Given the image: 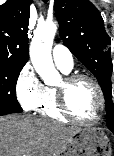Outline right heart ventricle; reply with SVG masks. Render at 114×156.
Instances as JSON below:
<instances>
[{"instance_id": "right-heart-ventricle-1", "label": "right heart ventricle", "mask_w": 114, "mask_h": 156, "mask_svg": "<svg viewBox=\"0 0 114 156\" xmlns=\"http://www.w3.org/2000/svg\"><path fill=\"white\" fill-rule=\"evenodd\" d=\"M59 69L65 74L70 72L62 68ZM35 110L43 117L51 118L60 122H67V118H65L59 110L57 88L55 87H45L44 97Z\"/></svg>"}]
</instances>
